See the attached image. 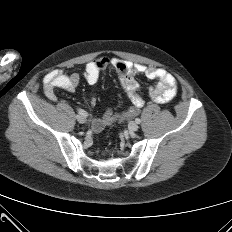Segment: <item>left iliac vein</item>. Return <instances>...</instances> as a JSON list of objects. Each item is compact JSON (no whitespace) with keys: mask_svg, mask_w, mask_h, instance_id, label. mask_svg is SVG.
Masks as SVG:
<instances>
[{"mask_svg":"<svg viewBox=\"0 0 232 232\" xmlns=\"http://www.w3.org/2000/svg\"><path fill=\"white\" fill-rule=\"evenodd\" d=\"M129 129L131 131H137L139 126L136 122H130L129 125H128Z\"/></svg>","mask_w":232,"mask_h":232,"instance_id":"1","label":"left iliac vein"}]
</instances>
